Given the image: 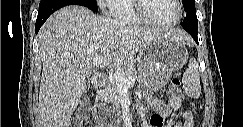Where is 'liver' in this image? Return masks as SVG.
<instances>
[{
  "mask_svg": "<svg viewBox=\"0 0 243 127\" xmlns=\"http://www.w3.org/2000/svg\"><path fill=\"white\" fill-rule=\"evenodd\" d=\"M157 36L181 43L190 40L181 30L132 26L79 5L65 6L51 15L38 33L43 60L39 111L44 127H69L95 57H103L109 68L124 67Z\"/></svg>",
  "mask_w": 243,
  "mask_h": 127,
  "instance_id": "obj_1",
  "label": "liver"
}]
</instances>
